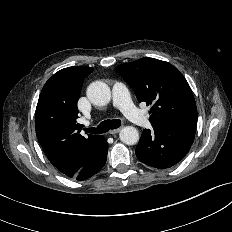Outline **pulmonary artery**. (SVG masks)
Segmentation results:
<instances>
[{
	"label": "pulmonary artery",
	"instance_id": "pulmonary-artery-1",
	"mask_svg": "<svg viewBox=\"0 0 232 232\" xmlns=\"http://www.w3.org/2000/svg\"><path fill=\"white\" fill-rule=\"evenodd\" d=\"M113 103L135 124L140 126L149 125L147 116L133 105L127 87L120 82L115 83L113 86Z\"/></svg>",
	"mask_w": 232,
	"mask_h": 232
}]
</instances>
